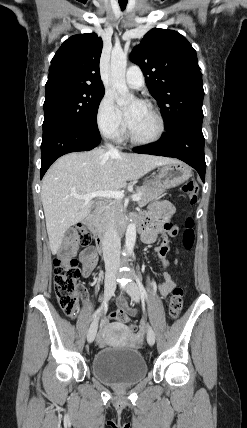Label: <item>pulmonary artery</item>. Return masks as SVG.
Wrapping results in <instances>:
<instances>
[{
    "label": "pulmonary artery",
    "mask_w": 247,
    "mask_h": 428,
    "mask_svg": "<svg viewBox=\"0 0 247 428\" xmlns=\"http://www.w3.org/2000/svg\"><path fill=\"white\" fill-rule=\"evenodd\" d=\"M125 80L127 85L133 89H140L144 86L143 74L137 66H131L128 68Z\"/></svg>",
    "instance_id": "obj_1"
}]
</instances>
